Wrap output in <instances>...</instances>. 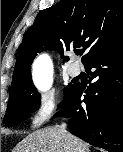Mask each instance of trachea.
<instances>
[{"label": "trachea", "mask_w": 123, "mask_h": 152, "mask_svg": "<svg viewBox=\"0 0 123 152\" xmlns=\"http://www.w3.org/2000/svg\"><path fill=\"white\" fill-rule=\"evenodd\" d=\"M82 54V52H77V55H81Z\"/></svg>", "instance_id": "3493384b"}]
</instances>
